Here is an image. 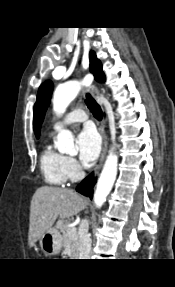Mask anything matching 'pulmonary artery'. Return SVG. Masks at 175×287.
<instances>
[{
  "label": "pulmonary artery",
  "instance_id": "1",
  "mask_svg": "<svg viewBox=\"0 0 175 287\" xmlns=\"http://www.w3.org/2000/svg\"><path fill=\"white\" fill-rule=\"evenodd\" d=\"M87 114L80 108L74 109L69 112L62 120L57 121L53 128L55 131L60 130L65 125L74 123L85 122L87 120Z\"/></svg>",
  "mask_w": 175,
  "mask_h": 287
}]
</instances>
